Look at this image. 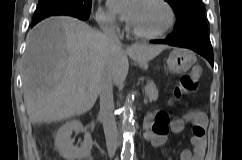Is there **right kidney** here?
I'll use <instances>...</instances> for the list:
<instances>
[{
    "label": "right kidney",
    "instance_id": "1",
    "mask_svg": "<svg viewBox=\"0 0 242 160\" xmlns=\"http://www.w3.org/2000/svg\"><path fill=\"white\" fill-rule=\"evenodd\" d=\"M85 132L84 142L78 147L73 146L72 133ZM55 144L60 154L67 160H82L91 154L92 138L91 135L84 131L83 125L78 120H72L65 123L57 132Z\"/></svg>",
    "mask_w": 242,
    "mask_h": 160
}]
</instances>
